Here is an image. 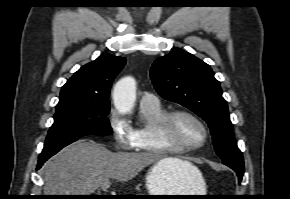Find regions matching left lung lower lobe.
I'll return each instance as SVG.
<instances>
[{
    "label": "left lung lower lobe",
    "mask_w": 290,
    "mask_h": 199,
    "mask_svg": "<svg viewBox=\"0 0 290 199\" xmlns=\"http://www.w3.org/2000/svg\"><path fill=\"white\" fill-rule=\"evenodd\" d=\"M223 164L227 165L236 172L240 183L244 174L243 160H225L223 161Z\"/></svg>",
    "instance_id": "left-lung-lower-lobe-1"
}]
</instances>
